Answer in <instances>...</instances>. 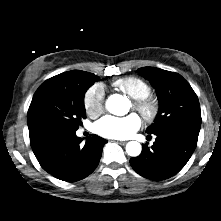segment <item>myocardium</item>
<instances>
[{
  "mask_svg": "<svg viewBox=\"0 0 221 221\" xmlns=\"http://www.w3.org/2000/svg\"><path fill=\"white\" fill-rule=\"evenodd\" d=\"M134 107L146 120H153L159 111L158 103L151 97L135 99Z\"/></svg>",
  "mask_w": 221,
  "mask_h": 221,
  "instance_id": "myocardium-1",
  "label": "myocardium"
}]
</instances>
